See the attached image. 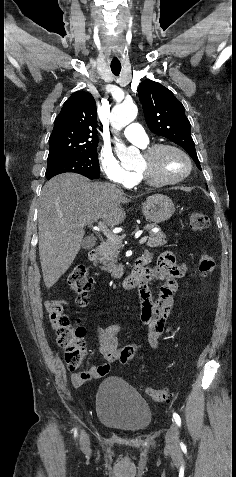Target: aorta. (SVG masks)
Returning a JSON list of instances; mask_svg holds the SVG:
<instances>
[{
    "label": "aorta",
    "instance_id": "aorta-1",
    "mask_svg": "<svg viewBox=\"0 0 236 477\" xmlns=\"http://www.w3.org/2000/svg\"><path fill=\"white\" fill-rule=\"evenodd\" d=\"M138 109L134 103H122L117 105L112 112L111 122L116 130H121L131 123L137 116ZM116 153L120 160L125 163L134 156L138 155L135 147H127L119 140L116 141Z\"/></svg>",
    "mask_w": 236,
    "mask_h": 477
}]
</instances>
